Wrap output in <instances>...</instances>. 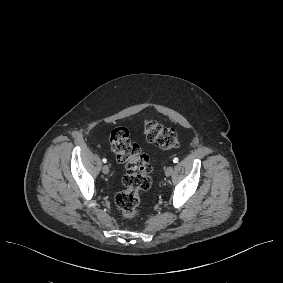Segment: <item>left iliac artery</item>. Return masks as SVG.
I'll return each mask as SVG.
<instances>
[{
  "instance_id": "obj_1",
  "label": "left iliac artery",
  "mask_w": 283,
  "mask_h": 283,
  "mask_svg": "<svg viewBox=\"0 0 283 283\" xmlns=\"http://www.w3.org/2000/svg\"><path fill=\"white\" fill-rule=\"evenodd\" d=\"M178 161H179V159H178L177 157H175V158L173 159V162H174V163H178Z\"/></svg>"
}]
</instances>
